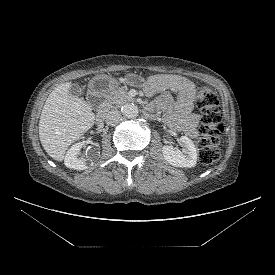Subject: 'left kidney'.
Wrapping results in <instances>:
<instances>
[{
	"mask_svg": "<svg viewBox=\"0 0 275 275\" xmlns=\"http://www.w3.org/2000/svg\"><path fill=\"white\" fill-rule=\"evenodd\" d=\"M180 141L184 145L183 151L175 149L173 146L164 145L162 147L164 159L175 167H194L197 162V150L193 141L187 136H182Z\"/></svg>",
	"mask_w": 275,
	"mask_h": 275,
	"instance_id": "left-kidney-1",
	"label": "left kidney"
}]
</instances>
